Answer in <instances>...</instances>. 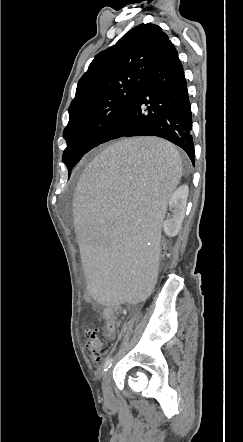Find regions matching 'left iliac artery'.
Returning a JSON list of instances; mask_svg holds the SVG:
<instances>
[{
	"instance_id": "obj_1",
	"label": "left iliac artery",
	"mask_w": 243,
	"mask_h": 442,
	"mask_svg": "<svg viewBox=\"0 0 243 442\" xmlns=\"http://www.w3.org/2000/svg\"><path fill=\"white\" fill-rule=\"evenodd\" d=\"M113 358H108L104 363V371H107L112 365Z\"/></svg>"
}]
</instances>
